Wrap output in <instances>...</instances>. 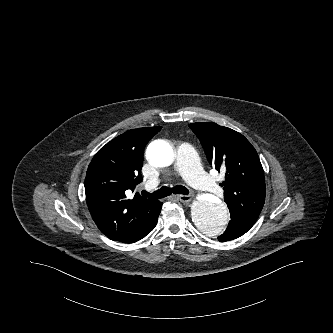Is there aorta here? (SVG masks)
Wrapping results in <instances>:
<instances>
[{"label":"aorta","mask_w":333,"mask_h":333,"mask_svg":"<svg viewBox=\"0 0 333 333\" xmlns=\"http://www.w3.org/2000/svg\"><path fill=\"white\" fill-rule=\"evenodd\" d=\"M147 160L155 167L173 163V149L164 140L152 142L146 152ZM191 216L195 226L206 235L216 236L225 232L229 223L226 205L215 196H206L192 203Z\"/></svg>","instance_id":"1"}]
</instances>
